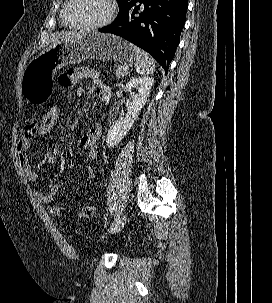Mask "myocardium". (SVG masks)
<instances>
[{"label": "myocardium", "instance_id": "obj_1", "mask_svg": "<svg viewBox=\"0 0 272 303\" xmlns=\"http://www.w3.org/2000/svg\"><path fill=\"white\" fill-rule=\"evenodd\" d=\"M73 0H67L62 9V21L63 23L73 29H101L108 26L115 18L117 14V4L115 0H106L108 4V14L105 19L97 23H88V24H75L68 20L67 18V9Z\"/></svg>", "mask_w": 272, "mask_h": 303}]
</instances>
